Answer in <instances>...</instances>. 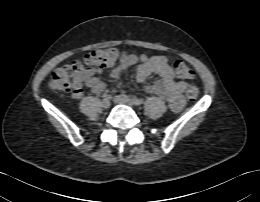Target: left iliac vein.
<instances>
[{"label":"left iliac vein","instance_id":"4c4485c4","mask_svg":"<svg viewBox=\"0 0 260 202\" xmlns=\"http://www.w3.org/2000/svg\"><path fill=\"white\" fill-rule=\"evenodd\" d=\"M114 102L117 103V104L128 105L130 107H132L133 104H134L132 102V100L129 97L125 96V95H117V96H115L114 97Z\"/></svg>","mask_w":260,"mask_h":202}]
</instances>
